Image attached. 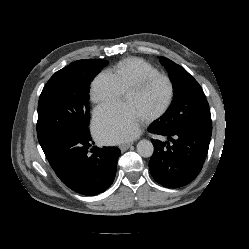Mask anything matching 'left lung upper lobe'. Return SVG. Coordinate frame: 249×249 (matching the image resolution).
I'll return each instance as SVG.
<instances>
[{
  "label": "left lung upper lobe",
  "instance_id": "obj_1",
  "mask_svg": "<svg viewBox=\"0 0 249 249\" xmlns=\"http://www.w3.org/2000/svg\"><path fill=\"white\" fill-rule=\"evenodd\" d=\"M173 84L174 99L166 113L155 120L167 131H184L212 126L209 104L199 83L180 65L160 57Z\"/></svg>",
  "mask_w": 249,
  "mask_h": 249
}]
</instances>
